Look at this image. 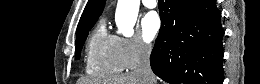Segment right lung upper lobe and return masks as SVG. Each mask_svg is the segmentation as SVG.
<instances>
[{
  "instance_id": "obj_1",
  "label": "right lung upper lobe",
  "mask_w": 260,
  "mask_h": 84,
  "mask_svg": "<svg viewBox=\"0 0 260 84\" xmlns=\"http://www.w3.org/2000/svg\"><path fill=\"white\" fill-rule=\"evenodd\" d=\"M105 5V0H88L84 12L80 18L76 37L88 28L91 24L97 21L101 15Z\"/></svg>"
}]
</instances>
